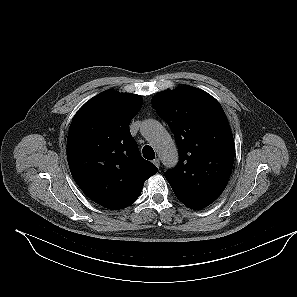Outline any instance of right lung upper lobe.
Listing matches in <instances>:
<instances>
[{"label":"right lung upper lobe","instance_id":"obj_1","mask_svg":"<svg viewBox=\"0 0 297 297\" xmlns=\"http://www.w3.org/2000/svg\"><path fill=\"white\" fill-rule=\"evenodd\" d=\"M142 98L106 90L75 114L67 139V160L80 189L113 210L131 205L157 167L140 155L129 124Z\"/></svg>","mask_w":297,"mask_h":297}]
</instances>
